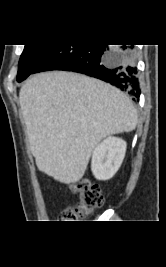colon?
I'll return each mask as SVG.
<instances>
[{
  "instance_id": "1",
  "label": "colon",
  "mask_w": 166,
  "mask_h": 267,
  "mask_svg": "<svg viewBox=\"0 0 166 267\" xmlns=\"http://www.w3.org/2000/svg\"><path fill=\"white\" fill-rule=\"evenodd\" d=\"M78 201L64 208L60 215V222L77 223L91 216L96 209L104 204V196L98 185L83 180L75 185Z\"/></svg>"
}]
</instances>
